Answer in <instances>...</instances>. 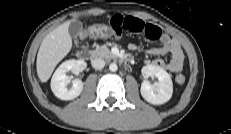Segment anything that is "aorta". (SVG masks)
<instances>
[{"label": "aorta", "instance_id": "aorta-1", "mask_svg": "<svg viewBox=\"0 0 231 134\" xmlns=\"http://www.w3.org/2000/svg\"><path fill=\"white\" fill-rule=\"evenodd\" d=\"M117 69H118V66H117L116 63H111V64L109 65V70H110V71L115 72V71H117Z\"/></svg>", "mask_w": 231, "mask_h": 134}]
</instances>
